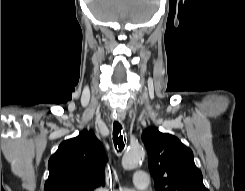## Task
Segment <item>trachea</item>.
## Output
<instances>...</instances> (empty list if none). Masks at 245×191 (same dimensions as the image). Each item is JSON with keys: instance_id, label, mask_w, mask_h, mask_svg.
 <instances>
[{"instance_id": "1", "label": "trachea", "mask_w": 245, "mask_h": 191, "mask_svg": "<svg viewBox=\"0 0 245 191\" xmlns=\"http://www.w3.org/2000/svg\"><path fill=\"white\" fill-rule=\"evenodd\" d=\"M113 141H114V145L117 148H119V151H122L124 146H125V132L123 130L122 125L115 121L113 124Z\"/></svg>"}]
</instances>
